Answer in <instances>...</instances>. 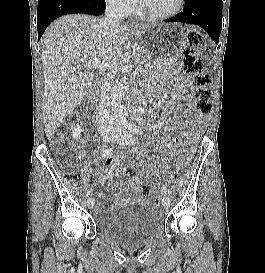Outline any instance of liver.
Here are the masks:
<instances>
[{
	"label": "liver",
	"mask_w": 265,
	"mask_h": 273,
	"mask_svg": "<svg viewBox=\"0 0 265 273\" xmlns=\"http://www.w3.org/2000/svg\"><path fill=\"white\" fill-rule=\"evenodd\" d=\"M146 27L149 25L136 29ZM129 31L127 26L119 25L113 36L107 37L100 19L82 14L65 15L47 28L41 42L45 85L43 119L48 138L83 101L92 84L93 75L84 71L83 66L92 58L110 64L116 62Z\"/></svg>",
	"instance_id": "6515ba94"
}]
</instances>
